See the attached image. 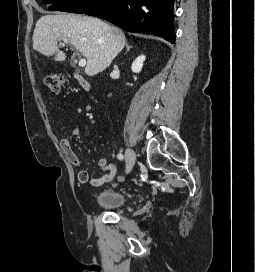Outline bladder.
<instances>
[{
	"label": "bladder",
	"mask_w": 255,
	"mask_h": 272,
	"mask_svg": "<svg viewBox=\"0 0 255 272\" xmlns=\"http://www.w3.org/2000/svg\"><path fill=\"white\" fill-rule=\"evenodd\" d=\"M129 201L128 195L115 190H107L97 195L95 203L101 208L115 210L123 207Z\"/></svg>",
	"instance_id": "obj_1"
}]
</instances>
